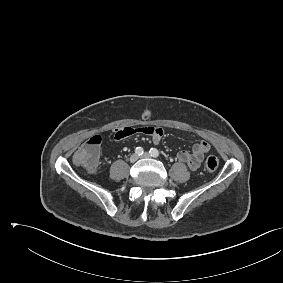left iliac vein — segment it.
I'll return each instance as SVG.
<instances>
[{"label":"left iliac vein","instance_id":"obj_1","mask_svg":"<svg viewBox=\"0 0 283 283\" xmlns=\"http://www.w3.org/2000/svg\"><path fill=\"white\" fill-rule=\"evenodd\" d=\"M141 157H142V158H148V157H150V154L147 153V152H145Z\"/></svg>","mask_w":283,"mask_h":283}]
</instances>
